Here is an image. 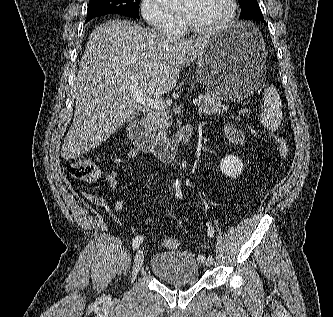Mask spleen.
<instances>
[{"label":"spleen","instance_id":"1","mask_svg":"<svg viewBox=\"0 0 333 317\" xmlns=\"http://www.w3.org/2000/svg\"><path fill=\"white\" fill-rule=\"evenodd\" d=\"M265 109L260 114L261 123L270 130H278L282 121V103L277 89L267 87L263 95Z\"/></svg>","mask_w":333,"mask_h":317}]
</instances>
